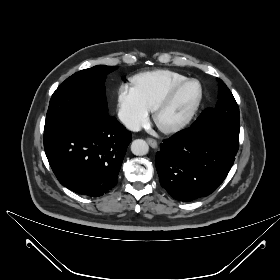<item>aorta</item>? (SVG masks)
Segmentation results:
<instances>
[{
  "mask_svg": "<svg viewBox=\"0 0 280 280\" xmlns=\"http://www.w3.org/2000/svg\"><path fill=\"white\" fill-rule=\"evenodd\" d=\"M131 151L136 156H143L148 153L149 146L146 141L142 139H136L131 144Z\"/></svg>",
  "mask_w": 280,
  "mask_h": 280,
  "instance_id": "aorta-1",
  "label": "aorta"
}]
</instances>
